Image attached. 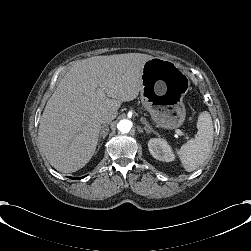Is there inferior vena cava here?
<instances>
[{
	"label": "inferior vena cava",
	"mask_w": 251,
	"mask_h": 251,
	"mask_svg": "<svg viewBox=\"0 0 251 251\" xmlns=\"http://www.w3.org/2000/svg\"><path fill=\"white\" fill-rule=\"evenodd\" d=\"M113 119H114L113 117H108V118L102 119L101 123H109Z\"/></svg>",
	"instance_id": "1"
}]
</instances>
